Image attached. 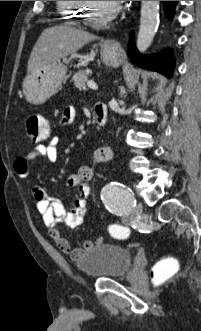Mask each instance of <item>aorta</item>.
Instances as JSON below:
<instances>
[{"mask_svg": "<svg viewBox=\"0 0 201 331\" xmlns=\"http://www.w3.org/2000/svg\"><path fill=\"white\" fill-rule=\"evenodd\" d=\"M159 24V1H141L137 48L145 52L151 45Z\"/></svg>", "mask_w": 201, "mask_h": 331, "instance_id": "1", "label": "aorta"}]
</instances>
